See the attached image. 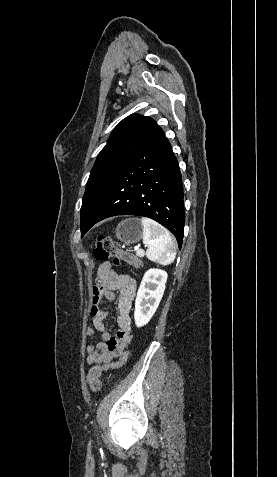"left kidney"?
Here are the masks:
<instances>
[{
  "label": "left kidney",
  "instance_id": "1",
  "mask_svg": "<svg viewBox=\"0 0 277 477\" xmlns=\"http://www.w3.org/2000/svg\"><path fill=\"white\" fill-rule=\"evenodd\" d=\"M167 273L161 269H149L143 276L135 300L134 319L137 327L146 325L163 297Z\"/></svg>",
  "mask_w": 277,
  "mask_h": 477
}]
</instances>
